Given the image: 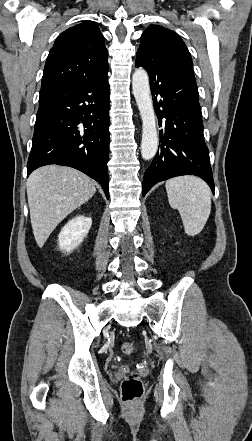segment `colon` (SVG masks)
<instances>
[{
	"label": "colon",
	"instance_id": "5ec220e1",
	"mask_svg": "<svg viewBox=\"0 0 252 441\" xmlns=\"http://www.w3.org/2000/svg\"><path fill=\"white\" fill-rule=\"evenodd\" d=\"M121 350L126 355H131L135 351V345L131 342L122 344ZM122 398L127 403L138 401L143 394V384L136 372L127 375L121 384Z\"/></svg>",
	"mask_w": 252,
	"mask_h": 441
}]
</instances>
